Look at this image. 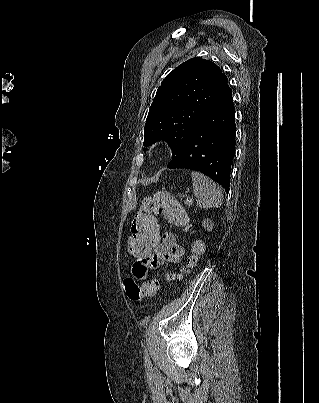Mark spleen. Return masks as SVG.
<instances>
[{
    "instance_id": "obj_1",
    "label": "spleen",
    "mask_w": 319,
    "mask_h": 403,
    "mask_svg": "<svg viewBox=\"0 0 319 403\" xmlns=\"http://www.w3.org/2000/svg\"><path fill=\"white\" fill-rule=\"evenodd\" d=\"M193 193L197 198V206L201 208L219 207L222 204V190L207 176L192 171Z\"/></svg>"
}]
</instances>
